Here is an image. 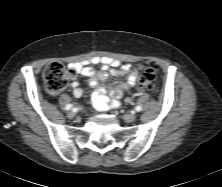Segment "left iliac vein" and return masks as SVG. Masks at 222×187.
I'll return each mask as SVG.
<instances>
[{"label": "left iliac vein", "mask_w": 222, "mask_h": 187, "mask_svg": "<svg viewBox=\"0 0 222 187\" xmlns=\"http://www.w3.org/2000/svg\"><path fill=\"white\" fill-rule=\"evenodd\" d=\"M123 119L126 121V122H133L136 120V115L134 114H125L123 115Z\"/></svg>", "instance_id": "obj_1"}]
</instances>
